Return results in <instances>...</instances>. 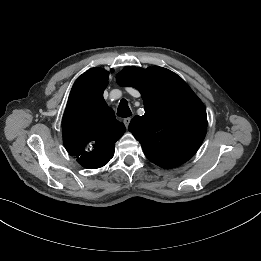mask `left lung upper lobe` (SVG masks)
I'll return each mask as SVG.
<instances>
[{"mask_svg": "<svg viewBox=\"0 0 261 261\" xmlns=\"http://www.w3.org/2000/svg\"><path fill=\"white\" fill-rule=\"evenodd\" d=\"M116 81H125L142 95L145 115L135 116L129 131L151 162L174 168L197 152L207 131L206 110L181 77L158 66H127Z\"/></svg>", "mask_w": 261, "mask_h": 261, "instance_id": "obj_1", "label": "left lung upper lobe"}]
</instances>
